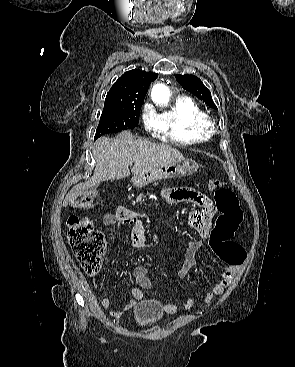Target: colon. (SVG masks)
I'll return each mask as SVG.
<instances>
[{
	"mask_svg": "<svg viewBox=\"0 0 295 367\" xmlns=\"http://www.w3.org/2000/svg\"><path fill=\"white\" fill-rule=\"evenodd\" d=\"M209 188L214 193L220 212L210 237L211 245L226 263L240 265L245 260V251L232 241L243 218L238 199L220 179L210 181ZM94 203L93 194H84L77 199L74 206L86 211L93 208ZM67 223L68 240L80 266L88 273L97 272L105 251L102 234L95 230L92 219L87 216L71 215Z\"/></svg>",
	"mask_w": 295,
	"mask_h": 367,
	"instance_id": "5ec220e1",
	"label": "colon"
}]
</instances>
